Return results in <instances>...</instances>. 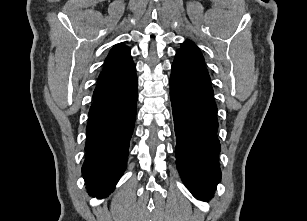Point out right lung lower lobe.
I'll return each instance as SVG.
<instances>
[{
	"label": "right lung lower lobe",
	"instance_id": "1",
	"mask_svg": "<svg viewBox=\"0 0 307 221\" xmlns=\"http://www.w3.org/2000/svg\"><path fill=\"white\" fill-rule=\"evenodd\" d=\"M137 83L136 77L121 89L93 96L82 167L86 189L92 196L106 197L126 168L136 117Z\"/></svg>",
	"mask_w": 307,
	"mask_h": 221
}]
</instances>
